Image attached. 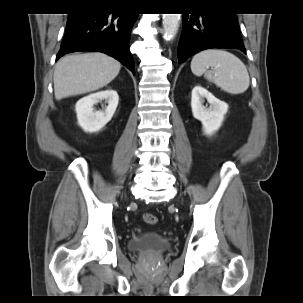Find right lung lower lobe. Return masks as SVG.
Instances as JSON below:
<instances>
[{"label":"right lung lower lobe","instance_id":"98d812e1","mask_svg":"<svg viewBox=\"0 0 303 303\" xmlns=\"http://www.w3.org/2000/svg\"><path fill=\"white\" fill-rule=\"evenodd\" d=\"M137 16L136 13L110 15L91 8L70 13L56 61L67 53L99 51L114 57L135 73L129 40Z\"/></svg>","mask_w":303,"mask_h":303}]
</instances>
